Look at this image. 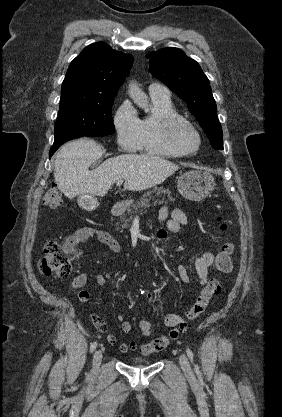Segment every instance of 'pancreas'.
<instances>
[{"mask_svg":"<svg viewBox=\"0 0 282 417\" xmlns=\"http://www.w3.org/2000/svg\"><path fill=\"white\" fill-rule=\"evenodd\" d=\"M151 194H156V196H160V194H167V200H165L166 196H162V200H158V198H156L155 202H159V204L168 202V200H175V198H172L171 196L170 188H164V186H153L152 190H147V192L143 194V198H140L137 204H133V209H128L126 215H120V223H123V225H121L122 229H129V223H132L135 213L143 211V206H150L149 200L150 198H153ZM127 215H130V217H127ZM120 223H117V225H120Z\"/></svg>","mask_w":282,"mask_h":417,"instance_id":"pancreas-1","label":"pancreas"}]
</instances>
